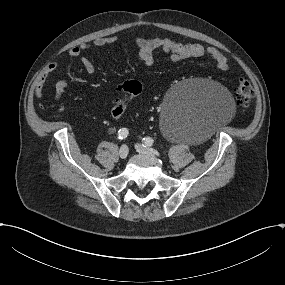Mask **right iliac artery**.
Listing matches in <instances>:
<instances>
[{
	"mask_svg": "<svg viewBox=\"0 0 285 285\" xmlns=\"http://www.w3.org/2000/svg\"><path fill=\"white\" fill-rule=\"evenodd\" d=\"M128 130L126 128H122L118 131V139L123 140L128 136Z\"/></svg>",
	"mask_w": 285,
	"mask_h": 285,
	"instance_id": "1",
	"label": "right iliac artery"
}]
</instances>
